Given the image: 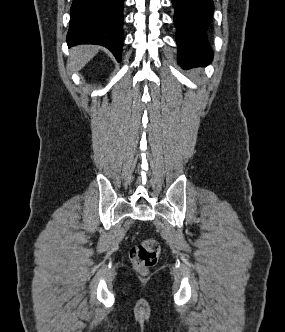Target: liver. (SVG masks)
<instances>
[{"instance_id": "6515ba94", "label": "liver", "mask_w": 285, "mask_h": 332, "mask_svg": "<svg viewBox=\"0 0 285 332\" xmlns=\"http://www.w3.org/2000/svg\"><path fill=\"white\" fill-rule=\"evenodd\" d=\"M99 47L80 45L71 50L68 66L75 72L81 70L97 53Z\"/></svg>"}]
</instances>
